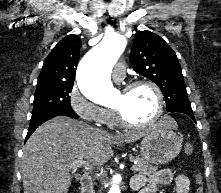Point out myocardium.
Listing matches in <instances>:
<instances>
[{"label": "myocardium", "instance_id": "obj_1", "mask_svg": "<svg viewBox=\"0 0 221 193\" xmlns=\"http://www.w3.org/2000/svg\"><path fill=\"white\" fill-rule=\"evenodd\" d=\"M138 86H148L153 90V92L156 96V100H157L156 111H155L154 115L152 116V118L150 120H148L147 122L137 123V122H132V121L128 120L120 108L114 107V112L116 114L118 122L122 126L127 127V128L140 129V128L150 127V126L154 125L156 122H158V120L161 118L163 111H164V95H163L161 89L159 88V86L151 80H148V79L135 80L133 82L128 83L123 88L122 91H130Z\"/></svg>", "mask_w": 221, "mask_h": 193}]
</instances>
